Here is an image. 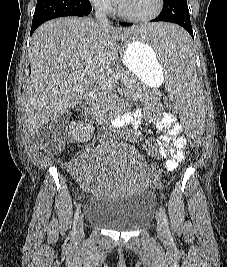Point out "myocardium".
<instances>
[{"label": "myocardium", "mask_w": 227, "mask_h": 267, "mask_svg": "<svg viewBox=\"0 0 227 267\" xmlns=\"http://www.w3.org/2000/svg\"><path fill=\"white\" fill-rule=\"evenodd\" d=\"M164 7V0H156V6L155 9L147 15L144 16H135V15H130L127 12L123 10L121 5H118L117 12L120 17L123 19L130 21V22H136V23H143V22H148L153 19H155L163 10Z\"/></svg>", "instance_id": "obj_1"}]
</instances>
